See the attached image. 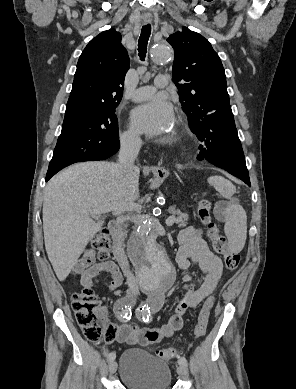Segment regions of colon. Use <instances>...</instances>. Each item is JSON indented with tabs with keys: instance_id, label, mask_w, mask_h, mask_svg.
Segmentation results:
<instances>
[{
	"instance_id": "1",
	"label": "colon",
	"mask_w": 296,
	"mask_h": 389,
	"mask_svg": "<svg viewBox=\"0 0 296 389\" xmlns=\"http://www.w3.org/2000/svg\"><path fill=\"white\" fill-rule=\"evenodd\" d=\"M211 204L203 199L199 203L198 216L201 223L207 228V235L212 242L213 249L224 257L225 267L228 271L238 268L240 256L231 251L227 245L226 238L218 232L211 219ZM92 247L97 251L100 260L108 259L111 250V238L108 231L99 232L92 239ZM213 305V297H209L203 304L198 322L194 329L196 338L203 337L206 333L210 310ZM71 306L75 318L87 340L93 343L111 342L116 337V327L109 324L100 302L91 287H84L74 292L71 296ZM176 348H164L158 351L160 358L171 360L179 356Z\"/></svg>"
}]
</instances>
